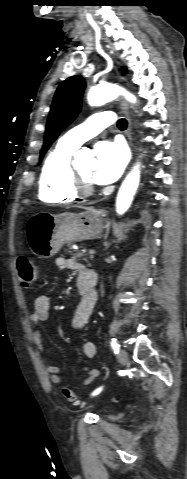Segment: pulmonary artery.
I'll list each match as a JSON object with an SVG mask.
<instances>
[{"instance_id": "obj_1", "label": "pulmonary artery", "mask_w": 187, "mask_h": 479, "mask_svg": "<svg viewBox=\"0 0 187 479\" xmlns=\"http://www.w3.org/2000/svg\"><path fill=\"white\" fill-rule=\"evenodd\" d=\"M115 114L104 111L90 116L84 123L66 132L59 141L71 148H78L82 143L100 133L105 127L113 124Z\"/></svg>"}]
</instances>
